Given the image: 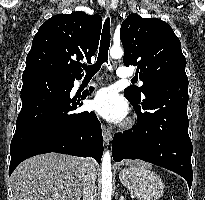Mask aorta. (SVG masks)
Returning a JSON list of instances; mask_svg holds the SVG:
<instances>
[{"label": "aorta", "instance_id": "762f6f07", "mask_svg": "<svg viewBox=\"0 0 205 200\" xmlns=\"http://www.w3.org/2000/svg\"><path fill=\"white\" fill-rule=\"evenodd\" d=\"M123 50L120 46H112L110 49V56L113 59L121 58ZM112 199V168H111V154L105 151L102 157L101 164V200Z\"/></svg>", "mask_w": 205, "mask_h": 200}]
</instances>
